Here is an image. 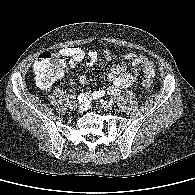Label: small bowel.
I'll return each instance as SVG.
<instances>
[{
	"instance_id": "small-bowel-1",
	"label": "small bowel",
	"mask_w": 195,
	"mask_h": 195,
	"mask_svg": "<svg viewBox=\"0 0 195 195\" xmlns=\"http://www.w3.org/2000/svg\"><path fill=\"white\" fill-rule=\"evenodd\" d=\"M103 54L108 61H111L114 58L113 53L109 49H106ZM59 55L69 59L68 63L71 68L77 67L84 59L88 66H92L96 63L98 58V54L95 50L85 52L80 47L76 46L61 49L59 51ZM125 59L130 61L136 69L129 72L123 64L113 66L107 74L111 82V85L107 88V90L98 89L89 91L80 97V100L83 102L84 109H86L91 102L100 99L106 93L110 95L119 94L121 89L132 86L140 76L148 79L154 76V64L146 56L137 53H128L126 54ZM79 81L81 84H85L86 77L81 76Z\"/></svg>"
}]
</instances>
